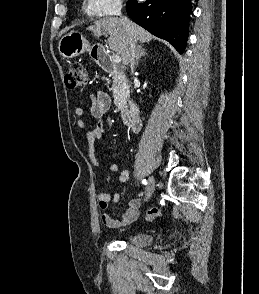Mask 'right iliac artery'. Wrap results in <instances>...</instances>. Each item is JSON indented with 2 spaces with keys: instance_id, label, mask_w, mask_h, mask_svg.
<instances>
[{
  "instance_id": "1",
  "label": "right iliac artery",
  "mask_w": 259,
  "mask_h": 294,
  "mask_svg": "<svg viewBox=\"0 0 259 294\" xmlns=\"http://www.w3.org/2000/svg\"><path fill=\"white\" fill-rule=\"evenodd\" d=\"M142 183L146 185V184H147V181L144 179V180L142 181Z\"/></svg>"
}]
</instances>
